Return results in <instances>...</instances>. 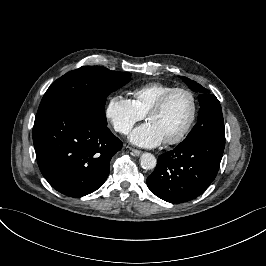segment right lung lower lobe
Returning <instances> with one entry per match:
<instances>
[{"mask_svg": "<svg viewBox=\"0 0 266 266\" xmlns=\"http://www.w3.org/2000/svg\"><path fill=\"white\" fill-rule=\"evenodd\" d=\"M33 143L45 179L74 198L96 191L105 182L110 160L122 148L107 125L73 104H57L38 113Z\"/></svg>", "mask_w": 266, "mask_h": 266, "instance_id": "obj_1", "label": "right lung lower lobe"}]
</instances>
